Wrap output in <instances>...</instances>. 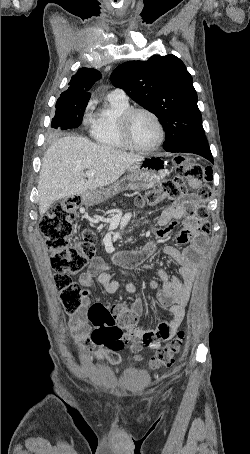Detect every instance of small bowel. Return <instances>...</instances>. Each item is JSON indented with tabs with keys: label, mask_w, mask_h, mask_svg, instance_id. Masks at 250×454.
<instances>
[{
	"label": "small bowel",
	"mask_w": 250,
	"mask_h": 454,
	"mask_svg": "<svg viewBox=\"0 0 250 454\" xmlns=\"http://www.w3.org/2000/svg\"><path fill=\"white\" fill-rule=\"evenodd\" d=\"M190 184L193 188H198L199 181L191 180ZM195 204L194 195L185 194L166 208L159 218L161 228L156 230L157 238L168 236L177 221L184 219V229L179 233L177 241L180 244L188 245L183 250L171 246L164 248V252L179 265L180 278L170 277L166 271L161 269L158 271V277L162 282L161 288H158V284L154 280H149L150 286L158 289L157 297L160 304L169 308L171 314L170 320L162 322L154 330L137 328L141 342L150 349H158L163 342L170 340L185 318L186 305L197 274L200 257L207 244V236L200 231L199 220L193 215ZM156 248L157 243L150 241L139 251L116 254L114 260L121 265L137 264L150 256ZM95 278L109 293H115L121 288L118 281L111 279L105 262L100 257H93L87 271L82 273L79 278L83 286L82 305L72 315L70 327L76 342L86 346L95 359L117 364L121 360L117 352H112L102 346L94 347L91 340V327L88 324L87 311L92 302L89 287ZM125 288L128 292L135 291V286L131 283L127 284ZM109 310L118 317L128 314L137 321L142 314L143 307L142 302L136 300L131 306L117 304L111 306Z\"/></svg>",
	"instance_id": "c3829d8e"
}]
</instances>
